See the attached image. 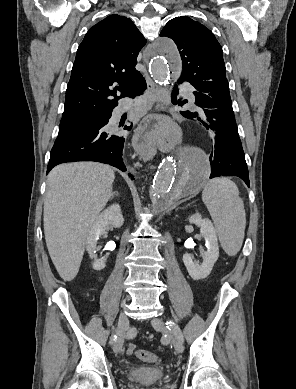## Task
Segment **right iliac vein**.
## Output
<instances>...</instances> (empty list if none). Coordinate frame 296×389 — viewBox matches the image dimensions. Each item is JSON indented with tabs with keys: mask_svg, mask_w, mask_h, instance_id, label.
Instances as JSON below:
<instances>
[{
	"mask_svg": "<svg viewBox=\"0 0 296 389\" xmlns=\"http://www.w3.org/2000/svg\"><path fill=\"white\" fill-rule=\"evenodd\" d=\"M129 326V320L125 313H121L118 320V328H117V334L118 338L114 344V352L118 353L122 350L123 347V339L125 336V333Z\"/></svg>",
	"mask_w": 296,
	"mask_h": 389,
	"instance_id": "1",
	"label": "right iliac vein"
}]
</instances>
